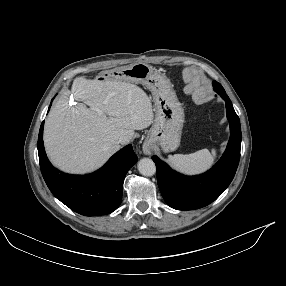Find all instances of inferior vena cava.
<instances>
[{
  "mask_svg": "<svg viewBox=\"0 0 286 286\" xmlns=\"http://www.w3.org/2000/svg\"><path fill=\"white\" fill-rule=\"evenodd\" d=\"M118 143L126 144V141H125V139H124L123 137H120V138L118 139Z\"/></svg>",
  "mask_w": 286,
  "mask_h": 286,
  "instance_id": "1",
  "label": "inferior vena cava"
}]
</instances>
